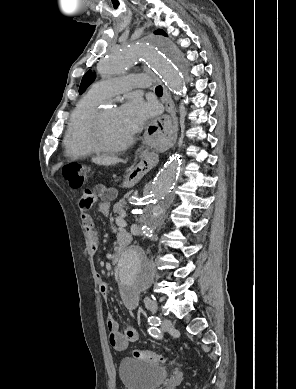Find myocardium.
Instances as JSON below:
<instances>
[{
    "instance_id": "obj_1",
    "label": "myocardium",
    "mask_w": 296,
    "mask_h": 389,
    "mask_svg": "<svg viewBox=\"0 0 296 389\" xmlns=\"http://www.w3.org/2000/svg\"><path fill=\"white\" fill-rule=\"evenodd\" d=\"M103 122L104 110H101L98 111L97 115L95 116L91 131V143L96 152L106 154L118 153L125 150L132 144V138H129L127 141L119 145H109L106 143L103 134Z\"/></svg>"
}]
</instances>
